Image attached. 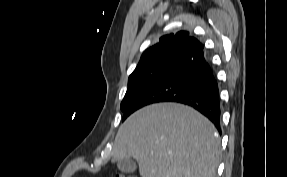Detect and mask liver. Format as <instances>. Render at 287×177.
Segmentation results:
<instances>
[{"instance_id": "liver-1", "label": "liver", "mask_w": 287, "mask_h": 177, "mask_svg": "<svg viewBox=\"0 0 287 177\" xmlns=\"http://www.w3.org/2000/svg\"><path fill=\"white\" fill-rule=\"evenodd\" d=\"M113 159L133 157L141 177H216L220 138L214 125L177 103L146 106L120 126Z\"/></svg>"}]
</instances>
